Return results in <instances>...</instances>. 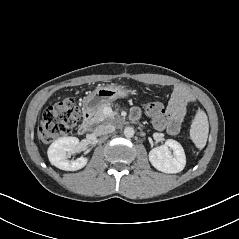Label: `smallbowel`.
<instances>
[{"label": "small bowel", "mask_w": 239, "mask_h": 239, "mask_svg": "<svg viewBox=\"0 0 239 239\" xmlns=\"http://www.w3.org/2000/svg\"><path fill=\"white\" fill-rule=\"evenodd\" d=\"M189 101L190 95L187 91L184 89H177L174 91L166 110V123L168 124L169 133L177 134L179 132ZM131 117L133 119H138L140 117V109L134 108L131 112Z\"/></svg>", "instance_id": "obj_1"}]
</instances>
